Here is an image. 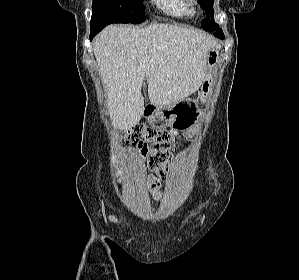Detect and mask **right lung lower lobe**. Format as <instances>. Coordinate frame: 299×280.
<instances>
[{"mask_svg":"<svg viewBox=\"0 0 299 280\" xmlns=\"http://www.w3.org/2000/svg\"><path fill=\"white\" fill-rule=\"evenodd\" d=\"M112 23H123V19L115 13L93 8L91 17L90 41L107 25Z\"/></svg>","mask_w":299,"mask_h":280,"instance_id":"obj_1","label":"right lung lower lobe"}]
</instances>
